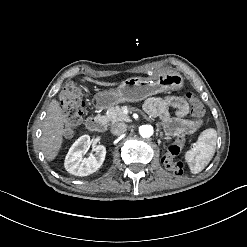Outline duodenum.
Masks as SVG:
<instances>
[{"instance_id":"duodenum-1","label":"duodenum","mask_w":247,"mask_h":247,"mask_svg":"<svg viewBox=\"0 0 247 247\" xmlns=\"http://www.w3.org/2000/svg\"><path fill=\"white\" fill-rule=\"evenodd\" d=\"M86 126L89 130L95 132H104L107 128L106 121L101 115L90 117L86 122Z\"/></svg>"}]
</instances>
